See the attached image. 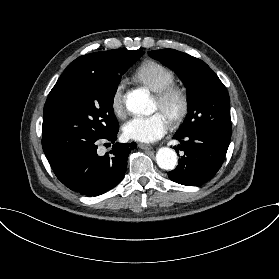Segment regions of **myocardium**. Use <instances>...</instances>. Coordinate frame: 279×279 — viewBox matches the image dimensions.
Instances as JSON below:
<instances>
[{
	"label": "myocardium",
	"mask_w": 279,
	"mask_h": 279,
	"mask_svg": "<svg viewBox=\"0 0 279 279\" xmlns=\"http://www.w3.org/2000/svg\"><path fill=\"white\" fill-rule=\"evenodd\" d=\"M156 99L162 107L170 104L175 106L173 113L169 115L167 120L171 126H179L189 110V98L186 90L180 85L172 84L158 91Z\"/></svg>",
	"instance_id": "f54148a6"
}]
</instances>
